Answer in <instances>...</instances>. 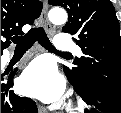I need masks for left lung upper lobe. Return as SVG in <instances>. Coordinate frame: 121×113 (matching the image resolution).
<instances>
[{
  "instance_id": "obj_1",
  "label": "left lung upper lobe",
  "mask_w": 121,
  "mask_h": 113,
  "mask_svg": "<svg viewBox=\"0 0 121 113\" xmlns=\"http://www.w3.org/2000/svg\"><path fill=\"white\" fill-rule=\"evenodd\" d=\"M64 7L69 15L63 32L82 49L72 68L64 67L72 83L99 82L121 95V37L119 22L110 0H49Z\"/></svg>"
}]
</instances>
